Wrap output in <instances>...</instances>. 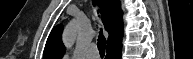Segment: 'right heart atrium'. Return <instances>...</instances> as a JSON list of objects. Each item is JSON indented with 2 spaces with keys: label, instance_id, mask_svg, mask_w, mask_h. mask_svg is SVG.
<instances>
[{
  "label": "right heart atrium",
  "instance_id": "right-heart-atrium-1",
  "mask_svg": "<svg viewBox=\"0 0 193 59\" xmlns=\"http://www.w3.org/2000/svg\"><path fill=\"white\" fill-rule=\"evenodd\" d=\"M63 59H72V58H70L69 55H64V56H63Z\"/></svg>",
  "mask_w": 193,
  "mask_h": 59
}]
</instances>
